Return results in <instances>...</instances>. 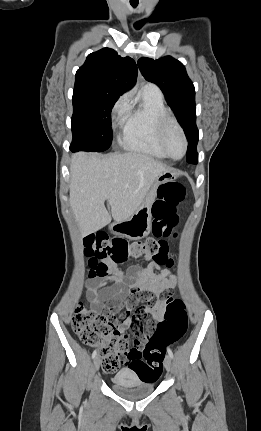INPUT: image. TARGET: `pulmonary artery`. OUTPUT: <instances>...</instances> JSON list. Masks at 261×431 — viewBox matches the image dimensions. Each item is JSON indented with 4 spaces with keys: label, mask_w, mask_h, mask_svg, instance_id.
Wrapping results in <instances>:
<instances>
[{
    "label": "pulmonary artery",
    "mask_w": 261,
    "mask_h": 431,
    "mask_svg": "<svg viewBox=\"0 0 261 431\" xmlns=\"http://www.w3.org/2000/svg\"><path fill=\"white\" fill-rule=\"evenodd\" d=\"M144 88H146L147 90H150L154 93H158L161 94L160 89L153 83H147Z\"/></svg>",
    "instance_id": "1"
}]
</instances>
